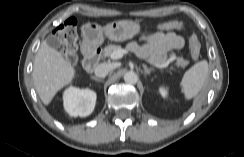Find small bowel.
Returning <instances> with one entry per match:
<instances>
[{"label":"small bowel","mask_w":244,"mask_h":157,"mask_svg":"<svg viewBox=\"0 0 244 157\" xmlns=\"http://www.w3.org/2000/svg\"><path fill=\"white\" fill-rule=\"evenodd\" d=\"M184 46V39L175 32H156L142 38L141 43L132 42L129 48L139 56H163L171 50H178Z\"/></svg>","instance_id":"obj_1"}]
</instances>
